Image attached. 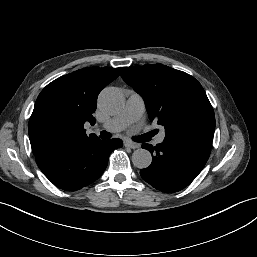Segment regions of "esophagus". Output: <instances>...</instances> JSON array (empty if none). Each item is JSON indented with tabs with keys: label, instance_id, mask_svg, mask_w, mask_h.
Masks as SVG:
<instances>
[{
	"label": "esophagus",
	"instance_id": "esophagus-1",
	"mask_svg": "<svg viewBox=\"0 0 257 257\" xmlns=\"http://www.w3.org/2000/svg\"><path fill=\"white\" fill-rule=\"evenodd\" d=\"M124 145H125V147L131 148V149H137L140 147L139 144L131 142V141H125Z\"/></svg>",
	"mask_w": 257,
	"mask_h": 257
}]
</instances>
